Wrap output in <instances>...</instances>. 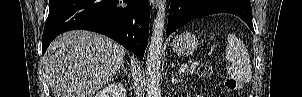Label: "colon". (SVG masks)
<instances>
[{
    "mask_svg": "<svg viewBox=\"0 0 302 97\" xmlns=\"http://www.w3.org/2000/svg\"><path fill=\"white\" fill-rule=\"evenodd\" d=\"M198 72L203 77H210L213 74L212 65L208 62L202 63ZM225 86L229 91H235L239 89L241 85L237 80L228 78L225 82Z\"/></svg>",
    "mask_w": 302,
    "mask_h": 97,
    "instance_id": "obj_1",
    "label": "colon"
}]
</instances>
